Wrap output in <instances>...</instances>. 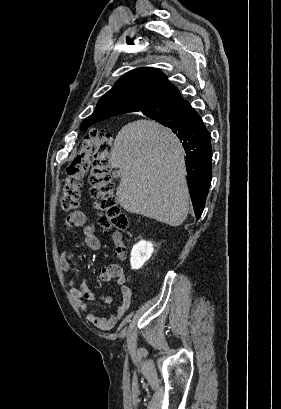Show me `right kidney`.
Here are the masks:
<instances>
[{
  "mask_svg": "<svg viewBox=\"0 0 281 409\" xmlns=\"http://www.w3.org/2000/svg\"><path fill=\"white\" fill-rule=\"evenodd\" d=\"M153 251V243H150V241H139V243L134 245L131 255H152Z\"/></svg>",
  "mask_w": 281,
  "mask_h": 409,
  "instance_id": "obj_1",
  "label": "right kidney"
}]
</instances>
